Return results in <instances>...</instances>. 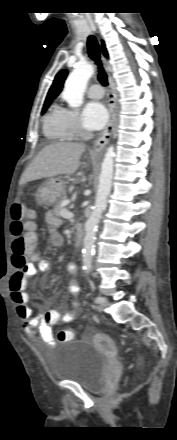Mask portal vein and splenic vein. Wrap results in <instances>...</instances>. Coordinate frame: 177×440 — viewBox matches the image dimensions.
Instances as JSON below:
<instances>
[{"mask_svg": "<svg viewBox=\"0 0 177 440\" xmlns=\"http://www.w3.org/2000/svg\"><path fill=\"white\" fill-rule=\"evenodd\" d=\"M61 216L63 217V218H66V219H70V218H73V213H71L70 211H68L67 209H65V208H63L62 210H61Z\"/></svg>", "mask_w": 177, "mask_h": 440, "instance_id": "obj_1", "label": "portal vein and splenic vein"}]
</instances>
